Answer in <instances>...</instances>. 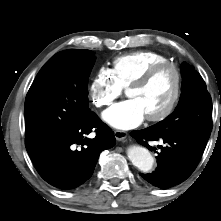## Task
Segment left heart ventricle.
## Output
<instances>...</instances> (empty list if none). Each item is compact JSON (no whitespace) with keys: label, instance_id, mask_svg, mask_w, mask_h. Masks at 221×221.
I'll list each match as a JSON object with an SVG mask.
<instances>
[{"label":"left heart ventricle","instance_id":"obj_1","mask_svg":"<svg viewBox=\"0 0 221 221\" xmlns=\"http://www.w3.org/2000/svg\"><path fill=\"white\" fill-rule=\"evenodd\" d=\"M174 88V71L171 68H165L155 75L147 86L127 90V96L138 100L145 115L149 116L161 112L168 105Z\"/></svg>","mask_w":221,"mask_h":221}]
</instances>
